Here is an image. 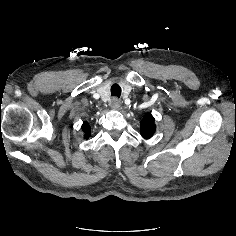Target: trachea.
Listing matches in <instances>:
<instances>
[{
	"instance_id": "trachea-1",
	"label": "trachea",
	"mask_w": 236,
	"mask_h": 236,
	"mask_svg": "<svg viewBox=\"0 0 236 236\" xmlns=\"http://www.w3.org/2000/svg\"><path fill=\"white\" fill-rule=\"evenodd\" d=\"M111 95L115 96V97H118V98L120 97V95H121V87L117 83H114L111 86Z\"/></svg>"
}]
</instances>
